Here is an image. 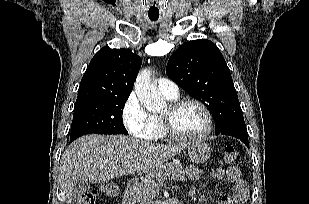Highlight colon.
I'll list each match as a JSON object with an SVG mask.
<instances>
[{"label": "colon", "mask_w": 309, "mask_h": 204, "mask_svg": "<svg viewBox=\"0 0 309 204\" xmlns=\"http://www.w3.org/2000/svg\"><path fill=\"white\" fill-rule=\"evenodd\" d=\"M240 162V157L233 146H228L223 152V163L228 166L237 165ZM101 192L110 198H117L120 194V187L115 182H104L101 185ZM97 198L96 191H87L76 200L74 204H95Z\"/></svg>", "instance_id": "colon-1"}]
</instances>
